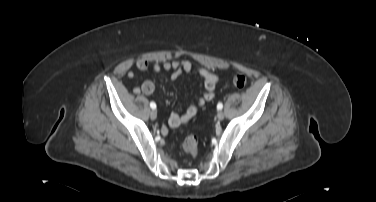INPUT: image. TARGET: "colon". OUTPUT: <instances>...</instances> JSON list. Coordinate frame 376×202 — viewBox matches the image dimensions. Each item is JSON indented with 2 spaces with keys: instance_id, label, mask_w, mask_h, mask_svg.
I'll return each mask as SVG.
<instances>
[{
  "instance_id": "5ec220e1",
  "label": "colon",
  "mask_w": 376,
  "mask_h": 202,
  "mask_svg": "<svg viewBox=\"0 0 376 202\" xmlns=\"http://www.w3.org/2000/svg\"><path fill=\"white\" fill-rule=\"evenodd\" d=\"M233 84L237 88H243L246 85V77L242 74H235L232 78ZM181 148L183 151L191 157H196L198 154V139L194 135L187 136L181 142Z\"/></svg>"
}]
</instances>
